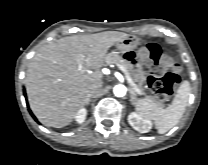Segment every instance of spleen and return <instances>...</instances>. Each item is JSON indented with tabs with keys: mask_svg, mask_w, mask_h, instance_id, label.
Listing matches in <instances>:
<instances>
[{
	"mask_svg": "<svg viewBox=\"0 0 208 165\" xmlns=\"http://www.w3.org/2000/svg\"><path fill=\"white\" fill-rule=\"evenodd\" d=\"M190 92V83L184 81L178 88L171 105L167 108H163L148 99H139L135 103V109L140 116L154 120L158 133L164 134L182 118L189 101Z\"/></svg>",
	"mask_w": 208,
	"mask_h": 165,
	"instance_id": "obj_1",
	"label": "spleen"
}]
</instances>
